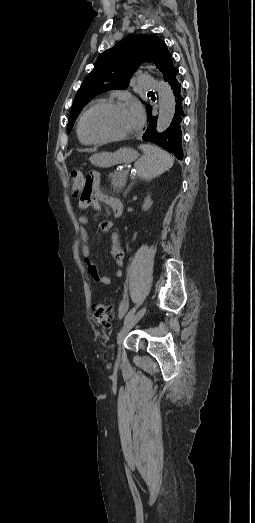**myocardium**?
Returning <instances> with one entry per match:
<instances>
[{
	"instance_id": "f54148a6",
	"label": "myocardium",
	"mask_w": 255,
	"mask_h": 523,
	"mask_svg": "<svg viewBox=\"0 0 255 523\" xmlns=\"http://www.w3.org/2000/svg\"><path fill=\"white\" fill-rule=\"evenodd\" d=\"M128 104H132V102L130 101H113V100H109V101H101V102H97L93 105H91L89 108H87L83 114L81 115L80 119H79V123H78V132H79V135L80 137L89 142V143H95V144H104V143H110V142H117V141H123V140H126V139H129L135 135L138 134L139 130H140V127H141V123H142V120H139L136 128L134 129V131L130 132V133H127V134H123V135H120V136H115V137H109V138H89L85 135L84 133V130H83V124H84V120L86 118V116L94 109L98 108V107H104V106H121V105H128Z\"/></svg>"
}]
</instances>
